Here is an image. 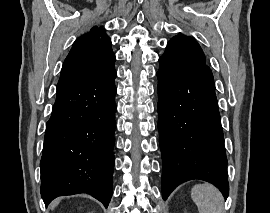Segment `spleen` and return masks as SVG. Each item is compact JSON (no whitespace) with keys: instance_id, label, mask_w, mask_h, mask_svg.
I'll return each mask as SVG.
<instances>
[{"instance_id":"1","label":"spleen","mask_w":270,"mask_h":213,"mask_svg":"<svg viewBox=\"0 0 270 213\" xmlns=\"http://www.w3.org/2000/svg\"><path fill=\"white\" fill-rule=\"evenodd\" d=\"M191 197L199 213H222L223 196L213 185H195L191 190Z\"/></svg>"}]
</instances>
